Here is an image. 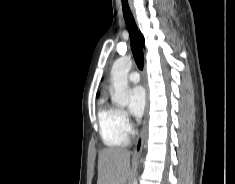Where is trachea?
Masks as SVG:
<instances>
[{"instance_id":"obj_1","label":"trachea","mask_w":235,"mask_h":184,"mask_svg":"<svg viewBox=\"0 0 235 184\" xmlns=\"http://www.w3.org/2000/svg\"><path fill=\"white\" fill-rule=\"evenodd\" d=\"M122 9H123L125 23L130 34V44L133 56L137 66L139 67L140 70H142L144 65L143 49L139 37V32L136 23L134 21L133 15L128 7L127 0H122Z\"/></svg>"}]
</instances>
